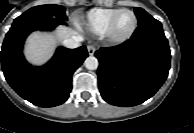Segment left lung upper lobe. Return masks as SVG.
I'll return each instance as SVG.
<instances>
[{"label":"left lung upper lobe","mask_w":194,"mask_h":133,"mask_svg":"<svg viewBox=\"0 0 194 133\" xmlns=\"http://www.w3.org/2000/svg\"><path fill=\"white\" fill-rule=\"evenodd\" d=\"M134 11H135V14H136V16L138 18V24H141V23L146 22V21H148V20L153 18L150 14H148L142 8L136 7L134 9Z\"/></svg>","instance_id":"left-lung-upper-lobe-1"}]
</instances>
